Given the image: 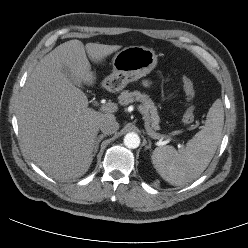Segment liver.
Wrapping results in <instances>:
<instances>
[{
	"instance_id": "1",
	"label": "liver",
	"mask_w": 248,
	"mask_h": 248,
	"mask_svg": "<svg viewBox=\"0 0 248 248\" xmlns=\"http://www.w3.org/2000/svg\"><path fill=\"white\" fill-rule=\"evenodd\" d=\"M119 45L70 40L44 56L28 77L17 111L21 143L29 157L49 176L68 180L83 176L93 160L99 125L113 114L88 108V99L65 76L87 85L96 79L95 63L119 50ZM87 53V55H86Z\"/></svg>"
}]
</instances>
